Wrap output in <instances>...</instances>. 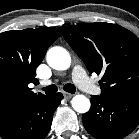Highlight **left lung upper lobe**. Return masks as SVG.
I'll use <instances>...</instances> for the list:
<instances>
[{"mask_svg":"<svg viewBox=\"0 0 139 139\" xmlns=\"http://www.w3.org/2000/svg\"><path fill=\"white\" fill-rule=\"evenodd\" d=\"M60 30L89 72L102 75V98L139 92V39L132 32L103 22L64 26Z\"/></svg>","mask_w":139,"mask_h":139,"instance_id":"obj_1","label":"left lung upper lobe"}]
</instances>
